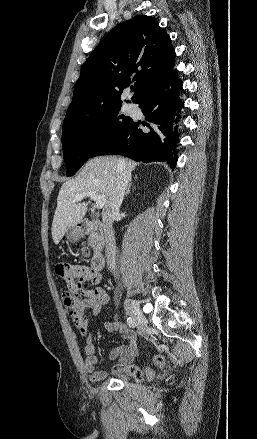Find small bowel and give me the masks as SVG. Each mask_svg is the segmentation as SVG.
Instances as JSON below:
<instances>
[{
  "label": "small bowel",
  "instance_id": "obj_1",
  "mask_svg": "<svg viewBox=\"0 0 257 439\" xmlns=\"http://www.w3.org/2000/svg\"><path fill=\"white\" fill-rule=\"evenodd\" d=\"M56 273L66 282L70 291H79L84 297L78 311L72 314L71 318L76 329L86 338L84 346V368L88 374V378L92 382L100 381L106 378L107 371L96 370L99 359L95 355V345L89 334L88 319L85 316V311L91 310L93 316L97 317L108 308L109 296L107 292L99 286L101 274L85 265L66 263L57 265ZM85 282H89L93 288L84 289L83 284ZM104 326L108 332L118 333L124 340V344L117 346L109 354L111 360H117L115 371L119 372L122 368L131 364L138 353L136 336L126 324L119 320L107 319ZM162 363L163 360L161 364Z\"/></svg>",
  "mask_w": 257,
  "mask_h": 439
}]
</instances>
